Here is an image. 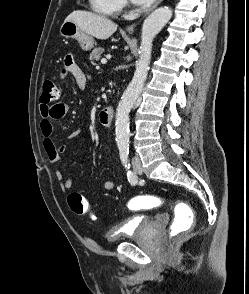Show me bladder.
Wrapping results in <instances>:
<instances>
[{"label":"bladder","mask_w":249,"mask_h":294,"mask_svg":"<svg viewBox=\"0 0 249 294\" xmlns=\"http://www.w3.org/2000/svg\"><path fill=\"white\" fill-rule=\"evenodd\" d=\"M155 218L151 215H140L125 221V229L116 232L110 229L105 234L107 243H116L121 240L137 239L143 237L154 225Z\"/></svg>","instance_id":"1"}]
</instances>
